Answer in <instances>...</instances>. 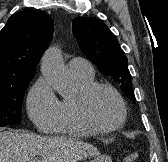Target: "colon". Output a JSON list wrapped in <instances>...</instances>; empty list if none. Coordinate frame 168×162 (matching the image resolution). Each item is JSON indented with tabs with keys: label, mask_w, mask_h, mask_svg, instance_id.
Returning <instances> with one entry per match:
<instances>
[{
	"label": "colon",
	"mask_w": 168,
	"mask_h": 162,
	"mask_svg": "<svg viewBox=\"0 0 168 162\" xmlns=\"http://www.w3.org/2000/svg\"><path fill=\"white\" fill-rule=\"evenodd\" d=\"M138 160H139V155L137 153L129 154L125 158V162H138Z\"/></svg>",
	"instance_id": "obj_1"
}]
</instances>
